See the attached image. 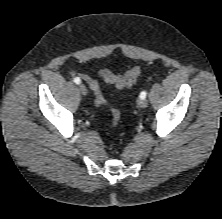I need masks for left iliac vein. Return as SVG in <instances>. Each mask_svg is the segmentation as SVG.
Returning a JSON list of instances; mask_svg holds the SVG:
<instances>
[{
	"instance_id": "1",
	"label": "left iliac vein",
	"mask_w": 222,
	"mask_h": 219,
	"mask_svg": "<svg viewBox=\"0 0 222 219\" xmlns=\"http://www.w3.org/2000/svg\"><path fill=\"white\" fill-rule=\"evenodd\" d=\"M138 106L140 108H146L147 105H148V101L146 99H139L138 102H137Z\"/></svg>"
}]
</instances>
